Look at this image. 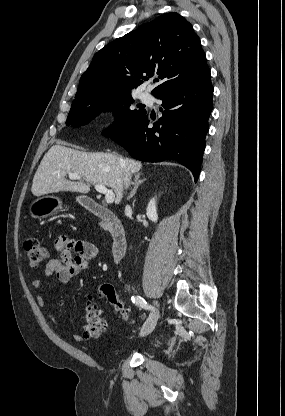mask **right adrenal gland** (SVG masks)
Segmentation results:
<instances>
[{"label":"right adrenal gland","mask_w":285,"mask_h":416,"mask_svg":"<svg viewBox=\"0 0 285 416\" xmlns=\"http://www.w3.org/2000/svg\"><path fill=\"white\" fill-rule=\"evenodd\" d=\"M146 178H144V180H141L140 178V174H136L135 178H134V188L130 194V196H128L127 200H131V198H133V196H135L140 184H143V182H145Z\"/></svg>","instance_id":"obj_1"}]
</instances>
